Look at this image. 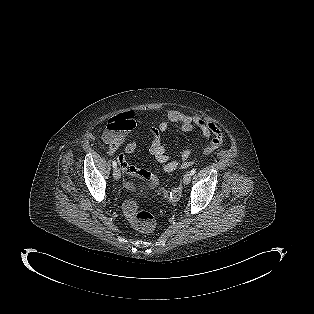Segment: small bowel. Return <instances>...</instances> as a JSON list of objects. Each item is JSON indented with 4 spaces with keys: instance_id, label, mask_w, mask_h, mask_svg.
Listing matches in <instances>:
<instances>
[{
    "instance_id": "c3829d8e",
    "label": "small bowel",
    "mask_w": 314,
    "mask_h": 314,
    "mask_svg": "<svg viewBox=\"0 0 314 314\" xmlns=\"http://www.w3.org/2000/svg\"><path fill=\"white\" fill-rule=\"evenodd\" d=\"M171 124H178L179 130L185 133L192 132L195 129L199 130L206 139V144L203 148V154L205 156L211 155L223 144V132L215 123L200 116H192L175 110H170L157 126L150 127L148 131V135L151 139L150 151L159 162L163 163L165 172H172L178 166L188 167L190 165L191 152L189 149L183 150L180 163L166 152V147L161 141V133L166 132ZM139 138L140 134H137L129 143H127L125 154H133L135 152ZM123 140L124 138L113 144H108L109 154H114ZM125 154L120 153L117 156L120 167L130 174H136V168L127 162Z\"/></svg>"
}]
</instances>
